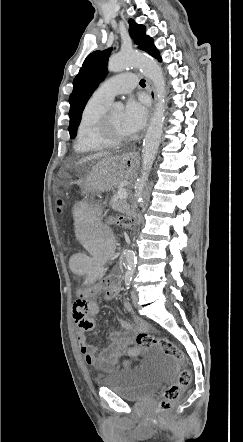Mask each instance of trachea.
<instances>
[{
    "mask_svg": "<svg viewBox=\"0 0 243 442\" xmlns=\"http://www.w3.org/2000/svg\"><path fill=\"white\" fill-rule=\"evenodd\" d=\"M140 86H145V80L144 79H141Z\"/></svg>",
    "mask_w": 243,
    "mask_h": 442,
    "instance_id": "obj_1",
    "label": "trachea"
}]
</instances>
